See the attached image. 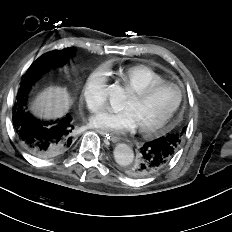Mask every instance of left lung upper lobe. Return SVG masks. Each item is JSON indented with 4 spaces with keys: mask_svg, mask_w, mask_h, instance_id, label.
Wrapping results in <instances>:
<instances>
[{
    "mask_svg": "<svg viewBox=\"0 0 232 232\" xmlns=\"http://www.w3.org/2000/svg\"><path fill=\"white\" fill-rule=\"evenodd\" d=\"M183 132H184V129L181 132H179V131L171 132V133H168L167 135L162 136L158 139H160L161 141H163L164 143L169 145L175 153L177 151V149L179 148V145L181 143ZM130 167L131 166H128L125 168V173L128 176L132 177L133 174L127 173L129 171Z\"/></svg>",
    "mask_w": 232,
    "mask_h": 232,
    "instance_id": "1",
    "label": "left lung upper lobe"
}]
</instances>
